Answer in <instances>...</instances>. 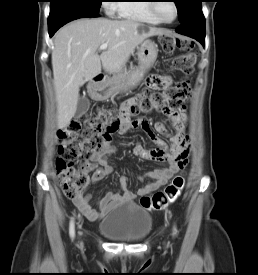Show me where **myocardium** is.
Listing matches in <instances>:
<instances>
[{
    "label": "myocardium",
    "instance_id": "obj_1",
    "mask_svg": "<svg viewBox=\"0 0 258 275\" xmlns=\"http://www.w3.org/2000/svg\"><path fill=\"white\" fill-rule=\"evenodd\" d=\"M152 2H155V3L150 4V10L160 23L170 24V23H173L178 18L179 8H178V5L174 1H170L175 8V16L172 20H165L159 15V13H158L159 3H157V2H160V1H152Z\"/></svg>",
    "mask_w": 258,
    "mask_h": 275
}]
</instances>
